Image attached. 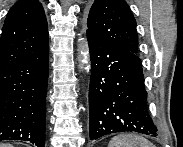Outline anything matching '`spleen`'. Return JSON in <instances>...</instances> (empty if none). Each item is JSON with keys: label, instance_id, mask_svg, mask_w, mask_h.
Wrapping results in <instances>:
<instances>
[{"label": "spleen", "instance_id": "3e777b00", "mask_svg": "<svg viewBox=\"0 0 183 147\" xmlns=\"http://www.w3.org/2000/svg\"><path fill=\"white\" fill-rule=\"evenodd\" d=\"M108 147H155L153 143L142 136L125 134L111 139Z\"/></svg>", "mask_w": 183, "mask_h": 147}]
</instances>
